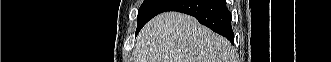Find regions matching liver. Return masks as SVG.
<instances>
[{
	"instance_id": "obj_1",
	"label": "liver",
	"mask_w": 331,
	"mask_h": 62,
	"mask_svg": "<svg viewBox=\"0 0 331 62\" xmlns=\"http://www.w3.org/2000/svg\"><path fill=\"white\" fill-rule=\"evenodd\" d=\"M135 52L136 62H232L233 48L194 17L166 12L143 27Z\"/></svg>"
}]
</instances>
